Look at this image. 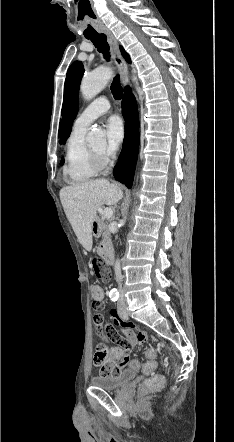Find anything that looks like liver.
Returning <instances> with one entry per match:
<instances>
[{
  "instance_id": "1",
  "label": "liver",
  "mask_w": 234,
  "mask_h": 442,
  "mask_svg": "<svg viewBox=\"0 0 234 442\" xmlns=\"http://www.w3.org/2000/svg\"><path fill=\"white\" fill-rule=\"evenodd\" d=\"M59 195L78 241L87 251H91L92 224L98 208L104 204H117L123 197L122 190L116 184L100 179L64 187Z\"/></svg>"
}]
</instances>
